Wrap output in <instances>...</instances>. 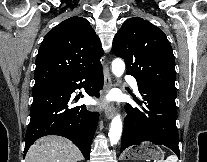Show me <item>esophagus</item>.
Here are the masks:
<instances>
[{
	"label": "esophagus",
	"instance_id": "esophagus-1",
	"mask_svg": "<svg viewBox=\"0 0 207 162\" xmlns=\"http://www.w3.org/2000/svg\"><path fill=\"white\" fill-rule=\"evenodd\" d=\"M112 76L107 65L104 67V92L107 93L112 87ZM104 115L107 119H111L115 114V106L112 103L104 104L103 109Z\"/></svg>",
	"mask_w": 207,
	"mask_h": 162
}]
</instances>
